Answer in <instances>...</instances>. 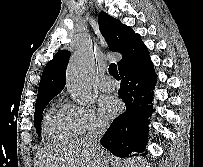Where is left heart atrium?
<instances>
[{"mask_svg":"<svg viewBox=\"0 0 203 167\" xmlns=\"http://www.w3.org/2000/svg\"><path fill=\"white\" fill-rule=\"evenodd\" d=\"M120 107L119 100L111 95H105L99 101L101 113L108 118L114 117L119 112Z\"/></svg>","mask_w":203,"mask_h":167,"instance_id":"obj_1","label":"left heart atrium"}]
</instances>
